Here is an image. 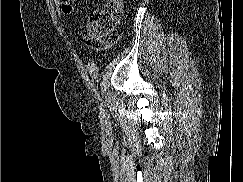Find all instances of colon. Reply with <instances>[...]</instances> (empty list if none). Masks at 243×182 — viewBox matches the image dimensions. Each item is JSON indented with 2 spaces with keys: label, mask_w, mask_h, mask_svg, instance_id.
<instances>
[{
  "label": "colon",
  "mask_w": 243,
  "mask_h": 182,
  "mask_svg": "<svg viewBox=\"0 0 243 182\" xmlns=\"http://www.w3.org/2000/svg\"><path fill=\"white\" fill-rule=\"evenodd\" d=\"M74 1L62 0V11L66 14L71 13ZM121 11L122 0H105L101 6L89 13L84 36L91 48L103 50L115 43V30Z\"/></svg>",
  "instance_id": "5ec220e1"
}]
</instances>
